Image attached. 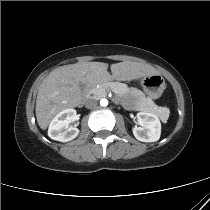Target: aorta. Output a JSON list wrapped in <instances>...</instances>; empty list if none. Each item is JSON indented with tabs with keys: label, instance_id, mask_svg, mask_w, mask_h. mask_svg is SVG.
I'll list each match as a JSON object with an SVG mask.
<instances>
[{
	"label": "aorta",
	"instance_id": "aorta-1",
	"mask_svg": "<svg viewBox=\"0 0 210 210\" xmlns=\"http://www.w3.org/2000/svg\"><path fill=\"white\" fill-rule=\"evenodd\" d=\"M100 104H101L102 106H107V105H108L107 99H102V100L100 101Z\"/></svg>",
	"mask_w": 210,
	"mask_h": 210
}]
</instances>
